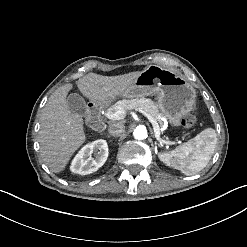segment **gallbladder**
Here are the masks:
<instances>
[{
	"label": "gallbladder",
	"mask_w": 247,
	"mask_h": 247,
	"mask_svg": "<svg viewBox=\"0 0 247 247\" xmlns=\"http://www.w3.org/2000/svg\"><path fill=\"white\" fill-rule=\"evenodd\" d=\"M67 105L70 111L84 117L86 115V103L82 96L72 93L68 96Z\"/></svg>",
	"instance_id": "1"
}]
</instances>
